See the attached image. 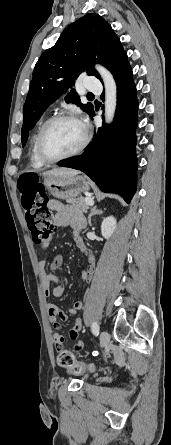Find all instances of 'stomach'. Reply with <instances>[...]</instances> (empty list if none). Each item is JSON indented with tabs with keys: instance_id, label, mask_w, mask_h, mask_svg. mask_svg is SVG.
I'll list each match as a JSON object with an SVG mask.
<instances>
[{
	"instance_id": "obj_1",
	"label": "stomach",
	"mask_w": 171,
	"mask_h": 445,
	"mask_svg": "<svg viewBox=\"0 0 171 445\" xmlns=\"http://www.w3.org/2000/svg\"><path fill=\"white\" fill-rule=\"evenodd\" d=\"M43 184L53 197L61 200L74 199L90 189L84 176L44 175Z\"/></svg>"
}]
</instances>
